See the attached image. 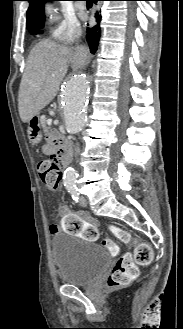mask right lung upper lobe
Instances as JSON below:
<instances>
[{"mask_svg":"<svg viewBox=\"0 0 183 329\" xmlns=\"http://www.w3.org/2000/svg\"><path fill=\"white\" fill-rule=\"evenodd\" d=\"M29 8L27 11V28L30 31L39 23H44V2L53 0H27Z\"/></svg>","mask_w":183,"mask_h":329,"instance_id":"obj_1","label":"right lung upper lobe"}]
</instances>
